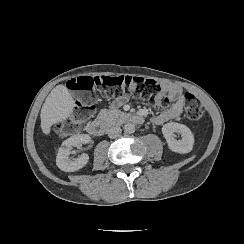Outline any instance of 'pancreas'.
<instances>
[{
  "mask_svg": "<svg viewBox=\"0 0 244 244\" xmlns=\"http://www.w3.org/2000/svg\"><path fill=\"white\" fill-rule=\"evenodd\" d=\"M127 113L122 112L118 109H101L97 115L98 119L110 120V121H120L124 115Z\"/></svg>",
  "mask_w": 244,
  "mask_h": 244,
  "instance_id": "pancreas-1",
  "label": "pancreas"
}]
</instances>
